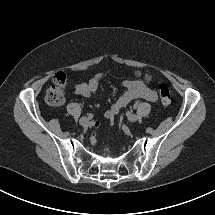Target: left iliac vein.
Segmentation results:
<instances>
[{
  "instance_id": "4c4485c4",
  "label": "left iliac vein",
  "mask_w": 215,
  "mask_h": 215,
  "mask_svg": "<svg viewBox=\"0 0 215 215\" xmlns=\"http://www.w3.org/2000/svg\"><path fill=\"white\" fill-rule=\"evenodd\" d=\"M138 119H139V117L136 114L129 113L127 115V120L129 122H136V121H138Z\"/></svg>"
}]
</instances>
